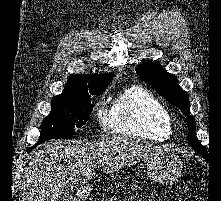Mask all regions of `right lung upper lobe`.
Returning a JSON list of instances; mask_svg holds the SVG:
<instances>
[{"mask_svg":"<svg viewBox=\"0 0 221 201\" xmlns=\"http://www.w3.org/2000/svg\"><path fill=\"white\" fill-rule=\"evenodd\" d=\"M113 78L112 73L107 74H76L70 77L62 96L83 97L92 95L98 91H105Z\"/></svg>","mask_w":221,"mask_h":201,"instance_id":"cb5924a9","label":"right lung upper lobe"}]
</instances>
